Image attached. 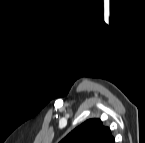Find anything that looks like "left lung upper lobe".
Instances as JSON below:
<instances>
[{
  "mask_svg": "<svg viewBox=\"0 0 145 143\" xmlns=\"http://www.w3.org/2000/svg\"><path fill=\"white\" fill-rule=\"evenodd\" d=\"M61 143H114V138L100 119H89L69 133Z\"/></svg>",
  "mask_w": 145,
  "mask_h": 143,
  "instance_id": "left-lung-upper-lobe-1",
  "label": "left lung upper lobe"
}]
</instances>
